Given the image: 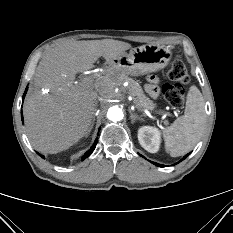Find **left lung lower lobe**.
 <instances>
[{
  "label": "left lung lower lobe",
  "instance_id": "1",
  "mask_svg": "<svg viewBox=\"0 0 233 233\" xmlns=\"http://www.w3.org/2000/svg\"><path fill=\"white\" fill-rule=\"evenodd\" d=\"M190 153H188L187 155H185L184 157H183V159L182 160H184L188 155H189ZM181 160V161H182ZM154 165H156V166H158V167H164V165H161V164H158V163H155V162H152Z\"/></svg>",
  "mask_w": 233,
  "mask_h": 233
}]
</instances>
